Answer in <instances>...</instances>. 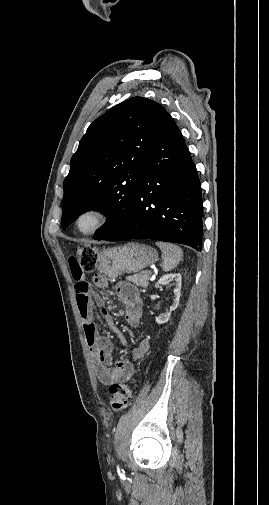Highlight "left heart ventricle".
<instances>
[{
    "label": "left heart ventricle",
    "instance_id": "1",
    "mask_svg": "<svg viewBox=\"0 0 269 505\" xmlns=\"http://www.w3.org/2000/svg\"><path fill=\"white\" fill-rule=\"evenodd\" d=\"M96 219L94 216H86L80 222L81 229H89L95 223Z\"/></svg>",
    "mask_w": 269,
    "mask_h": 505
}]
</instances>
